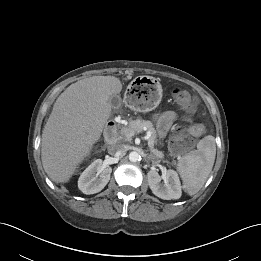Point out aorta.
<instances>
[{
	"mask_svg": "<svg viewBox=\"0 0 261 261\" xmlns=\"http://www.w3.org/2000/svg\"><path fill=\"white\" fill-rule=\"evenodd\" d=\"M139 158H140V155H139L138 152H136V151L130 152V154H129V160H130L131 162H136V161L139 160Z\"/></svg>",
	"mask_w": 261,
	"mask_h": 261,
	"instance_id": "obj_1",
	"label": "aorta"
}]
</instances>
